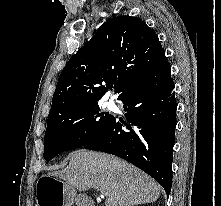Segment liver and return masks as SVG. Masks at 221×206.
Returning a JSON list of instances; mask_svg holds the SVG:
<instances>
[{
    "mask_svg": "<svg viewBox=\"0 0 221 206\" xmlns=\"http://www.w3.org/2000/svg\"><path fill=\"white\" fill-rule=\"evenodd\" d=\"M69 164L50 173L81 191L100 190L107 196L105 206H134L155 202L161 187L143 171L113 155L77 150L69 155Z\"/></svg>",
    "mask_w": 221,
    "mask_h": 206,
    "instance_id": "obj_1",
    "label": "liver"
}]
</instances>
